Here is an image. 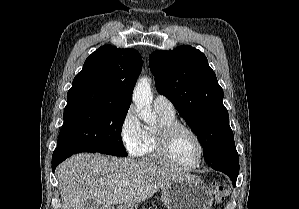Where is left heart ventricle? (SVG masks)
Masks as SVG:
<instances>
[{"label":"left heart ventricle","instance_id":"1","mask_svg":"<svg viewBox=\"0 0 299 209\" xmlns=\"http://www.w3.org/2000/svg\"><path fill=\"white\" fill-rule=\"evenodd\" d=\"M171 156L178 164L192 165L199 158L198 143L191 134L180 132L173 138Z\"/></svg>","mask_w":299,"mask_h":209}]
</instances>
